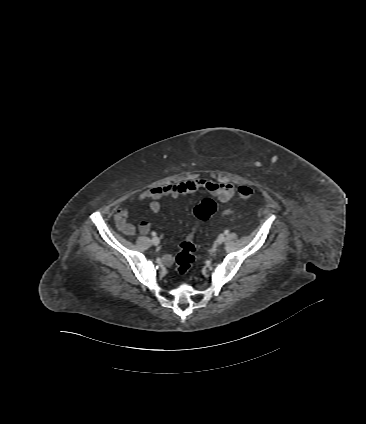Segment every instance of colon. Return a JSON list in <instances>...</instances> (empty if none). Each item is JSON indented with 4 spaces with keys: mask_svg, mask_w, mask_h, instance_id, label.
I'll return each mask as SVG.
<instances>
[{
    "mask_svg": "<svg viewBox=\"0 0 366 424\" xmlns=\"http://www.w3.org/2000/svg\"><path fill=\"white\" fill-rule=\"evenodd\" d=\"M239 197L242 200H249L254 190L247 185H241L238 188ZM216 211V203L211 199L202 200L194 208V215L198 223L192 228L186 239L180 244V249L176 257V271L179 275L184 276L188 274L195 262L196 244L194 241L195 233L200 222L209 219Z\"/></svg>",
    "mask_w": 366,
    "mask_h": 424,
    "instance_id": "colon-1",
    "label": "colon"
}]
</instances>
